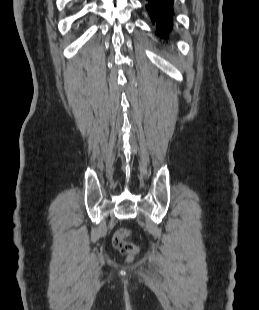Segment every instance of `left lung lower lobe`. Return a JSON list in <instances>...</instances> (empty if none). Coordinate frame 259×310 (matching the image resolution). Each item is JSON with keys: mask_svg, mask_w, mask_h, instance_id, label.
<instances>
[{"mask_svg": "<svg viewBox=\"0 0 259 310\" xmlns=\"http://www.w3.org/2000/svg\"><path fill=\"white\" fill-rule=\"evenodd\" d=\"M146 6L153 25H156L157 33L168 38V34L172 28L173 18V0H146Z\"/></svg>", "mask_w": 259, "mask_h": 310, "instance_id": "1", "label": "left lung lower lobe"}]
</instances>
